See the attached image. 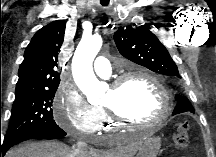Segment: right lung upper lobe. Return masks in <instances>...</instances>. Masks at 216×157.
Segmentation results:
<instances>
[{"label":"right lung upper lobe","instance_id":"right-lung-upper-lobe-1","mask_svg":"<svg viewBox=\"0 0 216 157\" xmlns=\"http://www.w3.org/2000/svg\"><path fill=\"white\" fill-rule=\"evenodd\" d=\"M65 27L66 23L63 20H56L33 36L19 67L15 96L27 91L58 87L60 78L56 68Z\"/></svg>","mask_w":216,"mask_h":157}]
</instances>
